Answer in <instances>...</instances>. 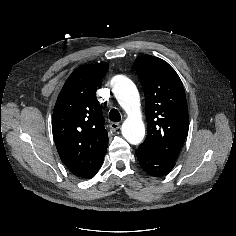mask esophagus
Returning <instances> with one entry per match:
<instances>
[{"instance_id":"obj_1","label":"esophagus","mask_w":236,"mask_h":236,"mask_svg":"<svg viewBox=\"0 0 236 236\" xmlns=\"http://www.w3.org/2000/svg\"><path fill=\"white\" fill-rule=\"evenodd\" d=\"M120 128V124L119 123H117V122H112V123H110V129L112 130V131H116L117 129H119Z\"/></svg>"}]
</instances>
